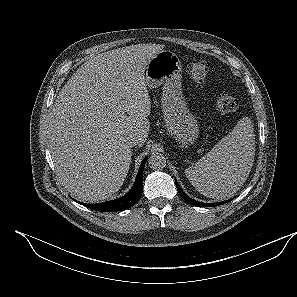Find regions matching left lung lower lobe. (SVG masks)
Segmentation results:
<instances>
[{
	"label": "left lung lower lobe",
	"mask_w": 297,
	"mask_h": 297,
	"mask_svg": "<svg viewBox=\"0 0 297 297\" xmlns=\"http://www.w3.org/2000/svg\"><path fill=\"white\" fill-rule=\"evenodd\" d=\"M175 184H176L177 190L180 193V195L182 196V198L191 205H195V206H199V207H213V206H219V205L225 204V203L229 202L230 200H232V199H229V200L222 201V202H217V203L198 202V201H195V200L191 199L189 196H187L183 192V190L180 188V186L178 185V183L176 181H175Z\"/></svg>",
	"instance_id": "1"
}]
</instances>
